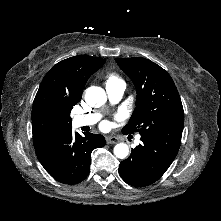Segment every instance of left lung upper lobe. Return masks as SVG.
Instances as JSON below:
<instances>
[{
	"label": "left lung upper lobe",
	"instance_id": "5c2ea615",
	"mask_svg": "<svg viewBox=\"0 0 221 221\" xmlns=\"http://www.w3.org/2000/svg\"><path fill=\"white\" fill-rule=\"evenodd\" d=\"M115 60L137 91L135 110L123 132H139L143 137L180 145L184 111L168 72L142 57Z\"/></svg>",
	"mask_w": 221,
	"mask_h": 221
}]
</instances>
